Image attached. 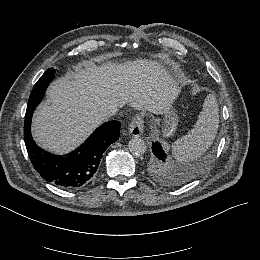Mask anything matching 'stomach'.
Returning a JSON list of instances; mask_svg holds the SVG:
<instances>
[{
    "label": "stomach",
    "instance_id": "1",
    "mask_svg": "<svg viewBox=\"0 0 260 260\" xmlns=\"http://www.w3.org/2000/svg\"><path fill=\"white\" fill-rule=\"evenodd\" d=\"M161 115L163 116V119H156L154 125L160 126L161 133L164 137L173 136L179 123V116L173 104L165 105Z\"/></svg>",
    "mask_w": 260,
    "mask_h": 260
}]
</instances>
